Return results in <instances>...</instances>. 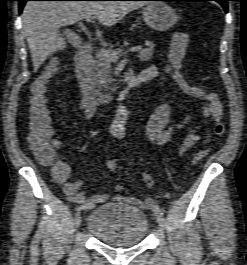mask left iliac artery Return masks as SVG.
<instances>
[{
  "label": "left iliac artery",
  "instance_id": "44dca946",
  "mask_svg": "<svg viewBox=\"0 0 247 265\" xmlns=\"http://www.w3.org/2000/svg\"><path fill=\"white\" fill-rule=\"evenodd\" d=\"M154 212H155L156 215H159V216H163L164 215L163 210L159 207L158 204H156L154 206Z\"/></svg>",
  "mask_w": 247,
  "mask_h": 265
}]
</instances>
